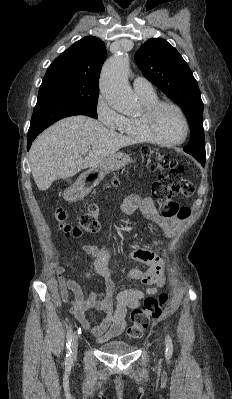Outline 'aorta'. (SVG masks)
<instances>
[{
    "instance_id": "762f6f07",
    "label": "aorta",
    "mask_w": 232,
    "mask_h": 399,
    "mask_svg": "<svg viewBox=\"0 0 232 399\" xmlns=\"http://www.w3.org/2000/svg\"><path fill=\"white\" fill-rule=\"evenodd\" d=\"M129 58L118 54L109 58L100 76V91L111 107L120 112H130L137 108L138 101L129 82Z\"/></svg>"
}]
</instances>
